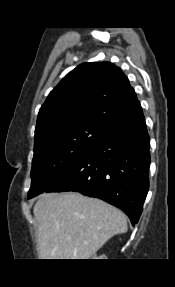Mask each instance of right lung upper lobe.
<instances>
[{
	"instance_id": "1",
	"label": "right lung upper lobe",
	"mask_w": 175,
	"mask_h": 287,
	"mask_svg": "<svg viewBox=\"0 0 175 287\" xmlns=\"http://www.w3.org/2000/svg\"><path fill=\"white\" fill-rule=\"evenodd\" d=\"M140 109L136 93L119 67L109 62L84 63L50 92L38 114L35 138L67 124L113 125Z\"/></svg>"
}]
</instances>
